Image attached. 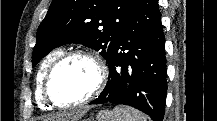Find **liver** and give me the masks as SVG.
<instances>
[{
    "label": "liver",
    "mask_w": 217,
    "mask_h": 121,
    "mask_svg": "<svg viewBox=\"0 0 217 121\" xmlns=\"http://www.w3.org/2000/svg\"><path fill=\"white\" fill-rule=\"evenodd\" d=\"M70 116H69V114H63V115H60L59 117H58V119L61 121H66V119H68Z\"/></svg>",
    "instance_id": "liver-1"
}]
</instances>
